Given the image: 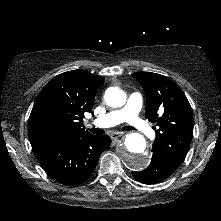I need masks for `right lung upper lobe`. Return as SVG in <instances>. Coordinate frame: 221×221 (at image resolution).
<instances>
[{"instance_id":"1","label":"right lung upper lobe","mask_w":221,"mask_h":221,"mask_svg":"<svg viewBox=\"0 0 221 221\" xmlns=\"http://www.w3.org/2000/svg\"><path fill=\"white\" fill-rule=\"evenodd\" d=\"M104 81V77L86 70L55 76L41 90L31 111V145L91 136L82 128V118L84 113L91 112L95 94Z\"/></svg>"}]
</instances>
